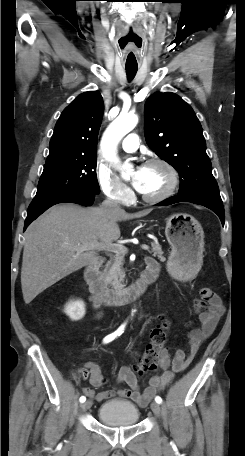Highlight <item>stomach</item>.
Instances as JSON below:
<instances>
[{
  "label": "stomach",
  "mask_w": 245,
  "mask_h": 456,
  "mask_svg": "<svg viewBox=\"0 0 245 456\" xmlns=\"http://www.w3.org/2000/svg\"><path fill=\"white\" fill-rule=\"evenodd\" d=\"M165 236L171 246L167 266L177 280L194 277L201 268L204 231L192 215L176 213L166 219Z\"/></svg>",
  "instance_id": "0dacf381"
}]
</instances>
